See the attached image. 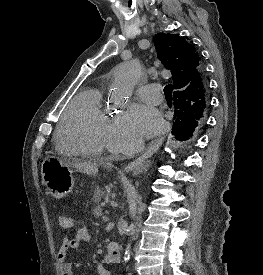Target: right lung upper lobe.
Wrapping results in <instances>:
<instances>
[{
    "instance_id": "obj_1",
    "label": "right lung upper lobe",
    "mask_w": 263,
    "mask_h": 275,
    "mask_svg": "<svg viewBox=\"0 0 263 275\" xmlns=\"http://www.w3.org/2000/svg\"><path fill=\"white\" fill-rule=\"evenodd\" d=\"M154 43L158 57L172 72L174 93L184 94V106L193 113L206 114L209 106L205 79L198 75L202 63L192 44L177 34L158 33Z\"/></svg>"
}]
</instances>
